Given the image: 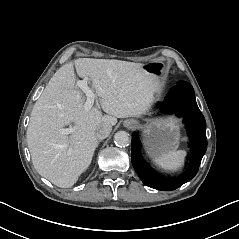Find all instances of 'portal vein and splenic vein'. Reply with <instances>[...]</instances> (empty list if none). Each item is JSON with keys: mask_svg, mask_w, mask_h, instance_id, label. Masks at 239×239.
I'll use <instances>...</instances> for the list:
<instances>
[{"mask_svg": "<svg viewBox=\"0 0 239 239\" xmlns=\"http://www.w3.org/2000/svg\"><path fill=\"white\" fill-rule=\"evenodd\" d=\"M76 85L85 93L87 99H86V102L84 104V109L86 111H89L94 104L95 94L89 88L86 78L84 80H78ZM59 131H60L61 134L68 135V134H71L72 132H74L75 128L74 127L62 128Z\"/></svg>", "mask_w": 239, "mask_h": 239, "instance_id": "portal-vein-and-splenic-vein-1", "label": "portal vein and splenic vein"}]
</instances>
